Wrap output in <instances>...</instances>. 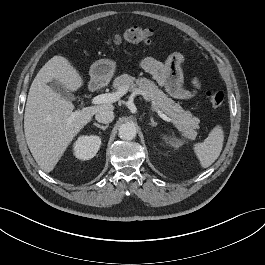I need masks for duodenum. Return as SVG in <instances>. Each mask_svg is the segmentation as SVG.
<instances>
[{
    "mask_svg": "<svg viewBox=\"0 0 265 265\" xmlns=\"http://www.w3.org/2000/svg\"><path fill=\"white\" fill-rule=\"evenodd\" d=\"M97 89V84L96 83H92L90 86V90L91 91H95Z\"/></svg>",
    "mask_w": 265,
    "mask_h": 265,
    "instance_id": "1",
    "label": "duodenum"
}]
</instances>
